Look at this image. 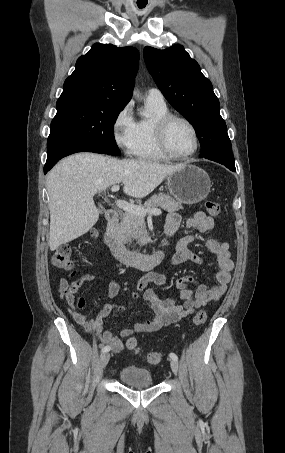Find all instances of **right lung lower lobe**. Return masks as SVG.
<instances>
[{"label":"right lung lower lobe","instance_id":"1","mask_svg":"<svg viewBox=\"0 0 285 453\" xmlns=\"http://www.w3.org/2000/svg\"><path fill=\"white\" fill-rule=\"evenodd\" d=\"M47 151L48 157L44 166V174L61 158L70 154L77 152L100 153L95 146L61 127H51V132L47 140Z\"/></svg>","mask_w":285,"mask_h":453}]
</instances>
